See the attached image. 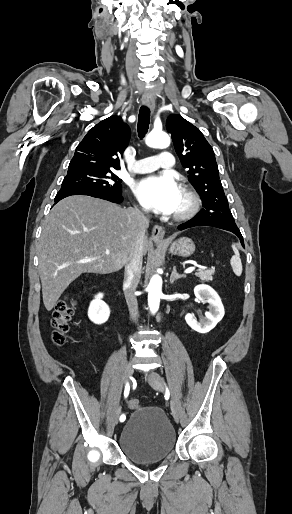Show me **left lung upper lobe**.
<instances>
[{
    "label": "left lung upper lobe",
    "instance_id": "5c2ea615",
    "mask_svg": "<svg viewBox=\"0 0 292 514\" xmlns=\"http://www.w3.org/2000/svg\"><path fill=\"white\" fill-rule=\"evenodd\" d=\"M166 128L182 166L189 169L188 180L202 200L203 209L195 217L237 227L219 179L213 148L201 131L176 114L168 116Z\"/></svg>",
    "mask_w": 292,
    "mask_h": 514
}]
</instances>
